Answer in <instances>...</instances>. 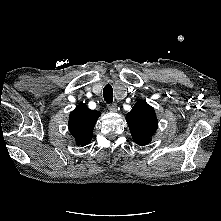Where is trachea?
I'll return each mask as SVG.
<instances>
[{
    "instance_id": "1",
    "label": "trachea",
    "mask_w": 221,
    "mask_h": 221,
    "mask_svg": "<svg viewBox=\"0 0 221 221\" xmlns=\"http://www.w3.org/2000/svg\"><path fill=\"white\" fill-rule=\"evenodd\" d=\"M103 96L106 103L110 104L113 102V88L111 85L107 84L103 88Z\"/></svg>"
}]
</instances>
